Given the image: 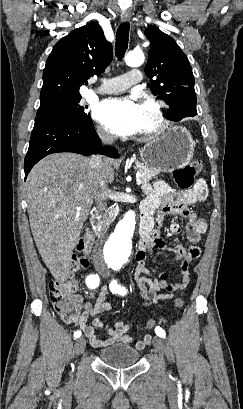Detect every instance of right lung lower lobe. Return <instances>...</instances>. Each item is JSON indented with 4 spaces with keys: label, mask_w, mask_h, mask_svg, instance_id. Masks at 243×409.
Wrapping results in <instances>:
<instances>
[{
    "label": "right lung lower lobe",
    "mask_w": 243,
    "mask_h": 409,
    "mask_svg": "<svg viewBox=\"0 0 243 409\" xmlns=\"http://www.w3.org/2000/svg\"><path fill=\"white\" fill-rule=\"evenodd\" d=\"M98 150L104 155L117 157L116 149L108 146L101 147V141L92 121L73 124L66 120L38 117L35 119L25 157V179L32 167L48 154L74 152L88 156Z\"/></svg>",
    "instance_id": "right-lung-lower-lobe-1"
}]
</instances>
